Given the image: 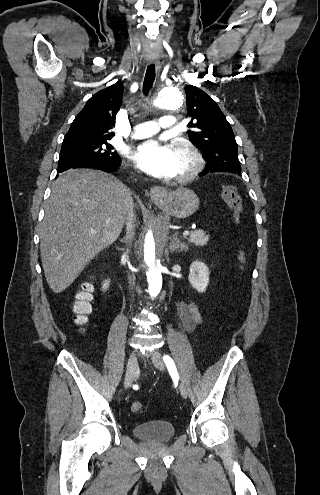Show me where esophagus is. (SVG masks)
I'll use <instances>...</instances> for the list:
<instances>
[{"instance_id": "esophagus-1", "label": "esophagus", "mask_w": 320, "mask_h": 495, "mask_svg": "<svg viewBox=\"0 0 320 495\" xmlns=\"http://www.w3.org/2000/svg\"><path fill=\"white\" fill-rule=\"evenodd\" d=\"M150 64H154L157 70H160V63L155 59L149 60ZM167 195V190L161 186H154L150 189V197L153 201L158 202L162 201Z\"/></svg>"}]
</instances>
